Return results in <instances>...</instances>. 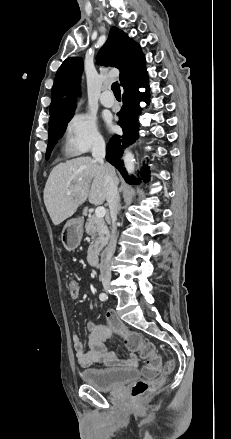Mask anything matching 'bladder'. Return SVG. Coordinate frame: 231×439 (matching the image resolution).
Instances as JSON below:
<instances>
[{
	"instance_id": "bladder-1",
	"label": "bladder",
	"mask_w": 231,
	"mask_h": 439,
	"mask_svg": "<svg viewBox=\"0 0 231 439\" xmlns=\"http://www.w3.org/2000/svg\"><path fill=\"white\" fill-rule=\"evenodd\" d=\"M136 369H87L80 373L83 383L100 391L117 389L127 382L137 379Z\"/></svg>"
}]
</instances>
